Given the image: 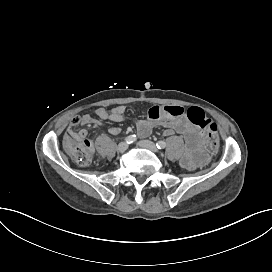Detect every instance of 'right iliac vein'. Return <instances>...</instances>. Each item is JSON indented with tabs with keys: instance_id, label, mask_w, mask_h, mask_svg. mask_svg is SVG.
<instances>
[{
	"instance_id": "obj_1",
	"label": "right iliac vein",
	"mask_w": 272,
	"mask_h": 272,
	"mask_svg": "<svg viewBox=\"0 0 272 272\" xmlns=\"http://www.w3.org/2000/svg\"><path fill=\"white\" fill-rule=\"evenodd\" d=\"M127 149H128V144L125 142H121L117 147L118 152H124Z\"/></svg>"
}]
</instances>
